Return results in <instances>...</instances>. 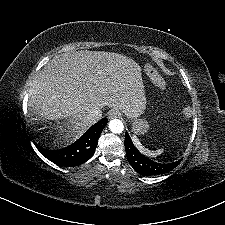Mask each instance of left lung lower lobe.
Returning <instances> with one entry per match:
<instances>
[{"label": "left lung lower lobe", "instance_id": "left-lung-lower-lobe-1", "mask_svg": "<svg viewBox=\"0 0 225 225\" xmlns=\"http://www.w3.org/2000/svg\"><path fill=\"white\" fill-rule=\"evenodd\" d=\"M124 143L129 164L136 172L143 176H153L167 173L174 169L183 159L181 158L180 160L172 163L151 160L138 151L128 133L125 134Z\"/></svg>", "mask_w": 225, "mask_h": 225}]
</instances>
